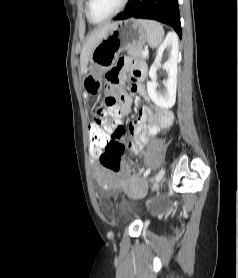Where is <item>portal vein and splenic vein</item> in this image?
I'll return each mask as SVG.
<instances>
[{"label": "portal vein and splenic vein", "mask_w": 238, "mask_h": 278, "mask_svg": "<svg viewBox=\"0 0 238 278\" xmlns=\"http://www.w3.org/2000/svg\"><path fill=\"white\" fill-rule=\"evenodd\" d=\"M148 54H149V51H148L147 48H145L144 51H143V56H144V57H147Z\"/></svg>", "instance_id": "18ae733b"}]
</instances>
